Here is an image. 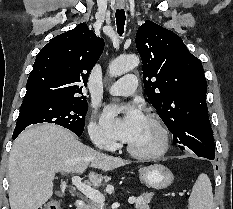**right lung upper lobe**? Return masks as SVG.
I'll use <instances>...</instances> for the list:
<instances>
[{
  "label": "right lung upper lobe",
  "mask_w": 233,
  "mask_h": 209,
  "mask_svg": "<svg viewBox=\"0 0 233 209\" xmlns=\"http://www.w3.org/2000/svg\"><path fill=\"white\" fill-rule=\"evenodd\" d=\"M103 48L104 40L83 23L51 39L36 57L22 104L84 100L83 87Z\"/></svg>",
  "instance_id": "cb5924a9"
}]
</instances>
